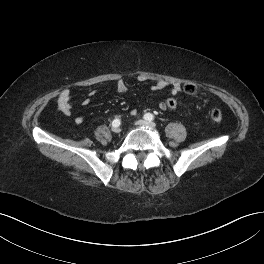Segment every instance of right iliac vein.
<instances>
[{"instance_id": "right-iliac-vein-1", "label": "right iliac vein", "mask_w": 264, "mask_h": 264, "mask_svg": "<svg viewBox=\"0 0 264 264\" xmlns=\"http://www.w3.org/2000/svg\"><path fill=\"white\" fill-rule=\"evenodd\" d=\"M112 130L115 133H120V131H121V129L119 127H113Z\"/></svg>"}]
</instances>
